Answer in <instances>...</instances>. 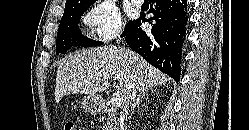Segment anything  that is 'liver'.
I'll use <instances>...</instances> for the list:
<instances>
[{
    "mask_svg": "<svg viewBox=\"0 0 249 130\" xmlns=\"http://www.w3.org/2000/svg\"><path fill=\"white\" fill-rule=\"evenodd\" d=\"M117 81L122 103L131 88L142 91L170 81L164 73L129 49L97 47L65 57L60 63L55 87V101L65 95L80 93L95 96Z\"/></svg>",
    "mask_w": 249,
    "mask_h": 130,
    "instance_id": "obj_1",
    "label": "liver"
}]
</instances>
